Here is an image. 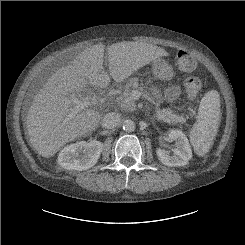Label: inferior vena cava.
<instances>
[{"instance_id":"inferior-vena-cava-1","label":"inferior vena cava","mask_w":245,"mask_h":245,"mask_svg":"<svg viewBox=\"0 0 245 245\" xmlns=\"http://www.w3.org/2000/svg\"><path fill=\"white\" fill-rule=\"evenodd\" d=\"M121 122V116L119 113L110 112L107 113L102 120L103 126L106 128L117 127Z\"/></svg>"}]
</instances>
